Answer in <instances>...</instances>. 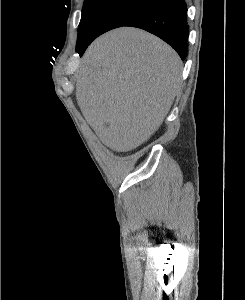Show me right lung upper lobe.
<instances>
[{"label":"right lung upper lobe","instance_id":"cb5924a9","mask_svg":"<svg viewBox=\"0 0 245 300\" xmlns=\"http://www.w3.org/2000/svg\"><path fill=\"white\" fill-rule=\"evenodd\" d=\"M156 1H159V2H160V1H163V0H156Z\"/></svg>","mask_w":245,"mask_h":300}]
</instances>
